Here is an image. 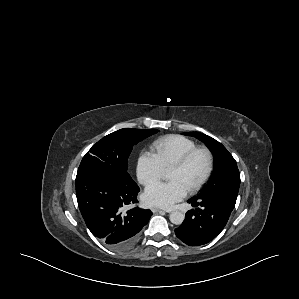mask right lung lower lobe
I'll return each instance as SVG.
<instances>
[{
    "label": "right lung lower lobe",
    "instance_id": "obj_1",
    "mask_svg": "<svg viewBox=\"0 0 299 299\" xmlns=\"http://www.w3.org/2000/svg\"><path fill=\"white\" fill-rule=\"evenodd\" d=\"M139 191L136 183H125L104 168L77 172L76 196L82 217L90 232L112 250L133 246L152 215L150 210L133 207Z\"/></svg>",
    "mask_w": 299,
    "mask_h": 299
}]
</instances>
